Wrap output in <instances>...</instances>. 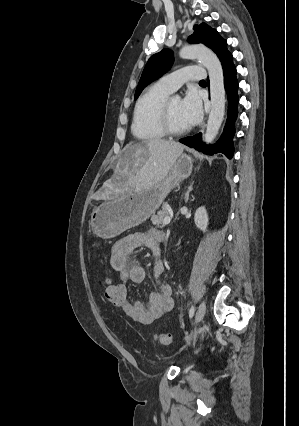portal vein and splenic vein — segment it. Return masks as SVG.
<instances>
[{
	"label": "portal vein and splenic vein",
	"instance_id": "18ae733b",
	"mask_svg": "<svg viewBox=\"0 0 299 426\" xmlns=\"http://www.w3.org/2000/svg\"><path fill=\"white\" fill-rule=\"evenodd\" d=\"M171 222V217L170 216H166L163 220V224L167 225Z\"/></svg>",
	"mask_w": 299,
	"mask_h": 426
}]
</instances>
